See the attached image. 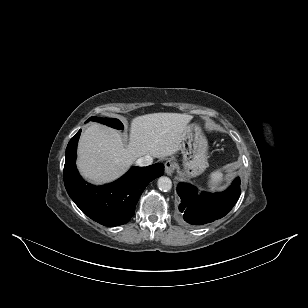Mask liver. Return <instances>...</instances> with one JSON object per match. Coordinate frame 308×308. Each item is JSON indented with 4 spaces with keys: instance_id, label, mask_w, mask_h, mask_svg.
I'll return each instance as SVG.
<instances>
[{
    "instance_id": "6515ba94",
    "label": "liver",
    "mask_w": 308,
    "mask_h": 308,
    "mask_svg": "<svg viewBox=\"0 0 308 308\" xmlns=\"http://www.w3.org/2000/svg\"><path fill=\"white\" fill-rule=\"evenodd\" d=\"M191 119L192 116L179 113L135 117L131 121L127 143L116 130L98 123L91 124L79 140V172L90 182L103 184L123 175L137 158L173 156L181 149Z\"/></svg>"
}]
</instances>
